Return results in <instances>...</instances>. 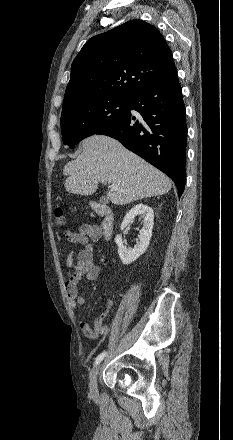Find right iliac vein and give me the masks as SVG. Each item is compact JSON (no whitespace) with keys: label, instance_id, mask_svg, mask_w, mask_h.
<instances>
[{"label":"right iliac vein","instance_id":"right-iliac-vein-1","mask_svg":"<svg viewBox=\"0 0 233 440\" xmlns=\"http://www.w3.org/2000/svg\"><path fill=\"white\" fill-rule=\"evenodd\" d=\"M100 364L94 366L90 373V381H89V389L92 396H97L98 388H97V376L99 374Z\"/></svg>","mask_w":233,"mask_h":440}]
</instances>
